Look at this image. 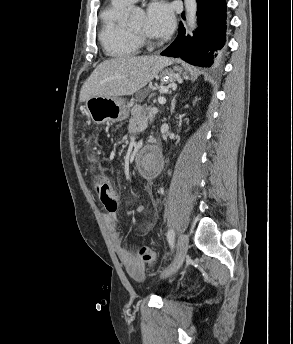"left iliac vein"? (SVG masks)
<instances>
[{
    "mask_svg": "<svg viewBox=\"0 0 293 344\" xmlns=\"http://www.w3.org/2000/svg\"><path fill=\"white\" fill-rule=\"evenodd\" d=\"M188 240L189 239L186 234H182L179 237L175 258L173 262L161 273L162 278H167L173 275L180 268L187 254Z\"/></svg>",
    "mask_w": 293,
    "mask_h": 344,
    "instance_id": "4c4485c4",
    "label": "left iliac vein"
}]
</instances>
